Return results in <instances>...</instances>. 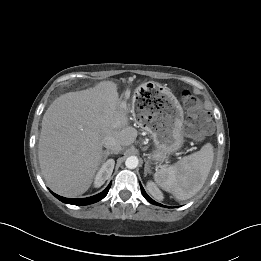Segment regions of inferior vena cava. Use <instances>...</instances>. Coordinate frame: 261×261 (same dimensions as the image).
<instances>
[{"label":"inferior vena cava","mask_w":261,"mask_h":261,"mask_svg":"<svg viewBox=\"0 0 261 261\" xmlns=\"http://www.w3.org/2000/svg\"><path fill=\"white\" fill-rule=\"evenodd\" d=\"M103 146L107 148V150L113 151L116 154L122 150L120 143L112 136L104 138Z\"/></svg>","instance_id":"obj_1"}]
</instances>
